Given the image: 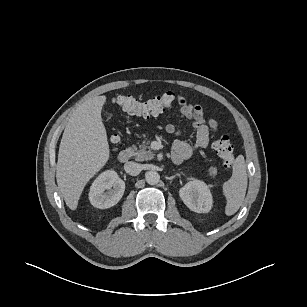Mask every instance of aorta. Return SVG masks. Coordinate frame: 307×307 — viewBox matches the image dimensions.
I'll list each match as a JSON object with an SVG mask.
<instances>
[{
	"label": "aorta",
	"mask_w": 307,
	"mask_h": 307,
	"mask_svg": "<svg viewBox=\"0 0 307 307\" xmlns=\"http://www.w3.org/2000/svg\"><path fill=\"white\" fill-rule=\"evenodd\" d=\"M146 182L150 185H156L160 181V175L156 171H147L145 174Z\"/></svg>",
	"instance_id": "obj_1"
}]
</instances>
